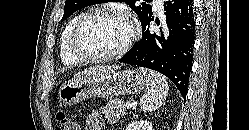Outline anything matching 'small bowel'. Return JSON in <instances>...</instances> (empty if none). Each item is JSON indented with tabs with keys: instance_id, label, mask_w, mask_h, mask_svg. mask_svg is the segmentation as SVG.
<instances>
[{
	"instance_id": "c3829d8e",
	"label": "small bowel",
	"mask_w": 249,
	"mask_h": 130,
	"mask_svg": "<svg viewBox=\"0 0 249 130\" xmlns=\"http://www.w3.org/2000/svg\"><path fill=\"white\" fill-rule=\"evenodd\" d=\"M86 130H103L104 122L97 111L88 114L86 121Z\"/></svg>"
}]
</instances>
